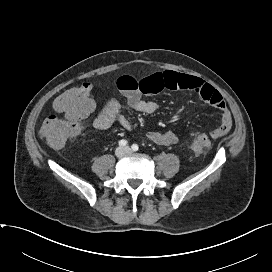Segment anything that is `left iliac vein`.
I'll use <instances>...</instances> for the list:
<instances>
[{"label":"left iliac vein","mask_w":272,"mask_h":272,"mask_svg":"<svg viewBox=\"0 0 272 272\" xmlns=\"http://www.w3.org/2000/svg\"><path fill=\"white\" fill-rule=\"evenodd\" d=\"M125 151H126V153H130L131 149L129 147H125Z\"/></svg>","instance_id":"4c4485c4"}]
</instances>
